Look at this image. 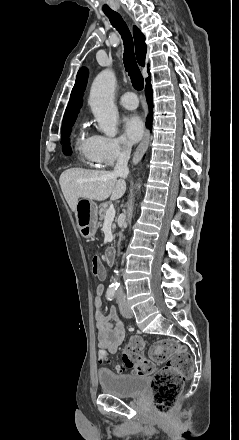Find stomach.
I'll use <instances>...</instances> for the list:
<instances>
[{"mask_svg": "<svg viewBox=\"0 0 239 440\" xmlns=\"http://www.w3.org/2000/svg\"><path fill=\"white\" fill-rule=\"evenodd\" d=\"M98 206L93 200L81 198L76 206V222L82 238H94L97 232Z\"/></svg>", "mask_w": 239, "mask_h": 440, "instance_id": "0dacf381", "label": "stomach"}]
</instances>
